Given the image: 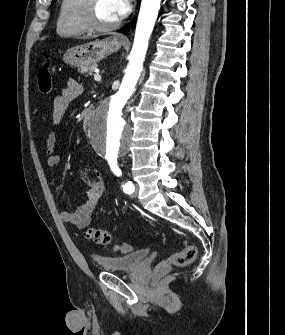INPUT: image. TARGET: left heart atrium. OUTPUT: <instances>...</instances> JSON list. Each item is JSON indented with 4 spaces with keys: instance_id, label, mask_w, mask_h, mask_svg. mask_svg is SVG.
<instances>
[{
    "instance_id": "obj_1",
    "label": "left heart atrium",
    "mask_w": 285,
    "mask_h": 335,
    "mask_svg": "<svg viewBox=\"0 0 285 335\" xmlns=\"http://www.w3.org/2000/svg\"><path fill=\"white\" fill-rule=\"evenodd\" d=\"M130 1H113V10L116 22L126 16Z\"/></svg>"
}]
</instances>
